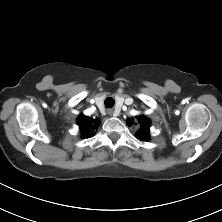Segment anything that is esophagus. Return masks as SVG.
<instances>
[{"instance_id": "esophagus-1", "label": "esophagus", "mask_w": 222, "mask_h": 222, "mask_svg": "<svg viewBox=\"0 0 222 222\" xmlns=\"http://www.w3.org/2000/svg\"><path fill=\"white\" fill-rule=\"evenodd\" d=\"M107 113H108L110 116H117V115L115 114V112H113L112 109H108V110H107Z\"/></svg>"}]
</instances>
